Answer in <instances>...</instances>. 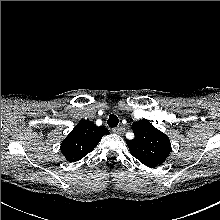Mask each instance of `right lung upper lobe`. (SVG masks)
Returning a JSON list of instances; mask_svg holds the SVG:
<instances>
[{
  "label": "right lung upper lobe",
  "mask_w": 220,
  "mask_h": 220,
  "mask_svg": "<svg viewBox=\"0 0 220 220\" xmlns=\"http://www.w3.org/2000/svg\"><path fill=\"white\" fill-rule=\"evenodd\" d=\"M105 134H109L106 128L98 127L89 120L81 121L63 140L60 150L70 162L81 160L93 151Z\"/></svg>",
  "instance_id": "cb5924a9"
}]
</instances>
